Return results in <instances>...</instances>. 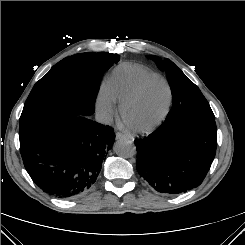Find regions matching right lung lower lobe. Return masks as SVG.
<instances>
[{"instance_id": "1", "label": "right lung lower lobe", "mask_w": 245, "mask_h": 245, "mask_svg": "<svg viewBox=\"0 0 245 245\" xmlns=\"http://www.w3.org/2000/svg\"><path fill=\"white\" fill-rule=\"evenodd\" d=\"M78 62L87 75L101 82L99 59L85 56ZM114 140L109 126L84 115L62 117L20 137V152L34 183L54 197L71 199L94 184Z\"/></svg>"}]
</instances>
